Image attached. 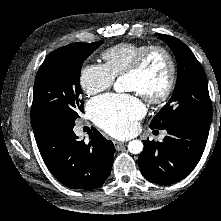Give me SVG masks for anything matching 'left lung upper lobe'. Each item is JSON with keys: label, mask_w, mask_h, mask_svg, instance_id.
Returning <instances> with one entry per match:
<instances>
[{"label": "left lung upper lobe", "mask_w": 221, "mask_h": 221, "mask_svg": "<svg viewBox=\"0 0 221 221\" xmlns=\"http://www.w3.org/2000/svg\"><path fill=\"white\" fill-rule=\"evenodd\" d=\"M172 49L178 65L174 93L153 118L152 129H166L182 121L211 123L212 104L204 70L192 51L179 39L156 34Z\"/></svg>", "instance_id": "1"}]
</instances>
